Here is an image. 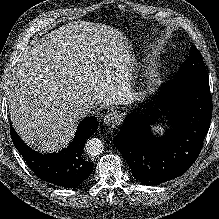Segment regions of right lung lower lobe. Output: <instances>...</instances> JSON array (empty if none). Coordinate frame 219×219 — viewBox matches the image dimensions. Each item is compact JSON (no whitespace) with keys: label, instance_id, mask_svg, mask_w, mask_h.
Returning a JSON list of instances; mask_svg holds the SVG:
<instances>
[{"label":"right lung lower lobe","instance_id":"1","mask_svg":"<svg viewBox=\"0 0 219 219\" xmlns=\"http://www.w3.org/2000/svg\"><path fill=\"white\" fill-rule=\"evenodd\" d=\"M97 128L96 117L84 118L69 146L59 153L51 154H41L32 150L21 140L12 126L10 134L16 149L41 180L61 187L75 188L89 177L93 169V162L87 161L82 151L86 140Z\"/></svg>","mask_w":219,"mask_h":219}]
</instances>
